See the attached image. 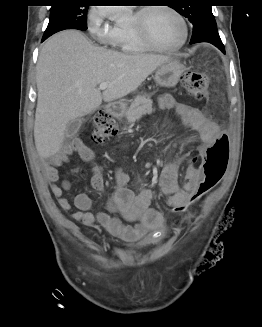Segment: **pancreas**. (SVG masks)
Here are the masks:
<instances>
[{
	"instance_id": "cf45deb5",
	"label": "pancreas",
	"mask_w": 262,
	"mask_h": 327,
	"mask_svg": "<svg viewBox=\"0 0 262 327\" xmlns=\"http://www.w3.org/2000/svg\"><path fill=\"white\" fill-rule=\"evenodd\" d=\"M152 104L153 102L150 99V96H137L125 112L127 122L133 123L139 120L143 115L151 114L154 111Z\"/></svg>"
}]
</instances>
